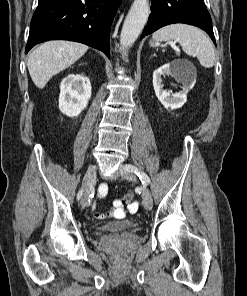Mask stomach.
I'll return each mask as SVG.
<instances>
[{
  "label": "stomach",
  "instance_id": "0dacf381",
  "mask_svg": "<svg viewBox=\"0 0 247 296\" xmlns=\"http://www.w3.org/2000/svg\"><path fill=\"white\" fill-rule=\"evenodd\" d=\"M150 45H151V46H154V45H158V43L151 41V42H150Z\"/></svg>",
  "mask_w": 247,
  "mask_h": 296
}]
</instances>
